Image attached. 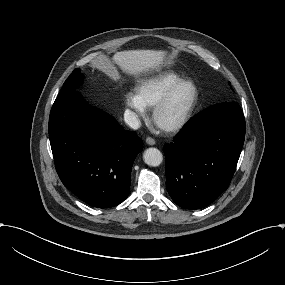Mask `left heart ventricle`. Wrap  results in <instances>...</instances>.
Segmentation results:
<instances>
[{"mask_svg":"<svg viewBox=\"0 0 285 285\" xmlns=\"http://www.w3.org/2000/svg\"><path fill=\"white\" fill-rule=\"evenodd\" d=\"M194 97V88L188 84L181 87L174 95L169 106L161 113L159 124L168 126L178 121L187 111Z\"/></svg>","mask_w":285,"mask_h":285,"instance_id":"obj_1","label":"left heart ventricle"}]
</instances>
